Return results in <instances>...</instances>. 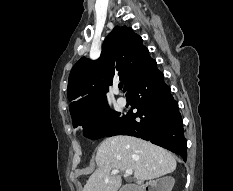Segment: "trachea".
<instances>
[{
    "mask_svg": "<svg viewBox=\"0 0 233 191\" xmlns=\"http://www.w3.org/2000/svg\"><path fill=\"white\" fill-rule=\"evenodd\" d=\"M118 87H119V89H122V88H123V85L120 83V84L118 85Z\"/></svg>",
    "mask_w": 233,
    "mask_h": 191,
    "instance_id": "trachea-1",
    "label": "trachea"
}]
</instances>
